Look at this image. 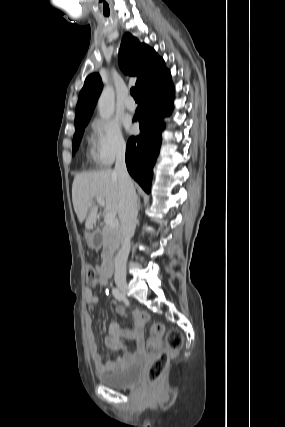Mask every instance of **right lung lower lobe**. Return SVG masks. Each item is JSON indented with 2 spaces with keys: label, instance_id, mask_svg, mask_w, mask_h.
Returning <instances> with one entry per match:
<instances>
[{
  "label": "right lung lower lobe",
  "instance_id": "1",
  "mask_svg": "<svg viewBox=\"0 0 285 427\" xmlns=\"http://www.w3.org/2000/svg\"><path fill=\"white\" fill-rule=\"evenodd\" d=\"M170 86V72L165 69L141 88V105L134 116L140 124V135L130 137L127 143L128 172L147 193L150 192L153 166L165 127L163 118L171 113L173 107L174 91Z\"/></svg>",
  "mask_w": 285,
  "mask_h": 427
}]
</instances>
